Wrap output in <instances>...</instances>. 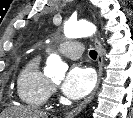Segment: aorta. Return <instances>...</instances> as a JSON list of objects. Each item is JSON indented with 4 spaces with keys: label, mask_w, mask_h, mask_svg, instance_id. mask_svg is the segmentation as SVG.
I'll use <instances>...</instances> for the list:
<instances>
[{
    "label": "aorta",
    "mask_w": 133,
    "mask_h": 118,
    "mask_svg": "<svg viewBox=\"0 0 133 118\" xmlns=\"http://www.w3.org/2000/svg\"><path fill=\"white\" fill-rule=\"evenodd\" d=\"M95 31V26L89 22H67L64 25V35L69 39L88 37L94 34ZM67 68V65L58 55L52 54L47 59L45 73L49 76L62 79L65 76Z\"/></svg>",
    "instance_id": "obj_1"
}]
</instances>
